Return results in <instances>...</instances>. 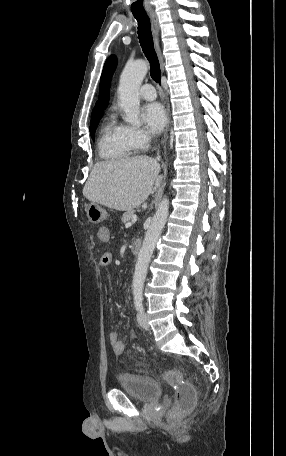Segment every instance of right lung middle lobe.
<instances>
[{
	"mask_svg": "<svg viewBox=\"0 0 286 456\" xmlns=\"http://www.w3.org/2000/svg\"><path fill=\"white\" fill-rule=\"evenodd\" d=\"M101 117L97 118V119H94L91 121V125H90V134L92 136V139L94 140V132L96 130V127L100 121Z\"/></svg>",
	"mask_w": 286,
	"mask_h": 456,
	"instance_id": "right-lung-middle-lobe-1",
	"label": "right lung middle lobe"
}]
</instances>
